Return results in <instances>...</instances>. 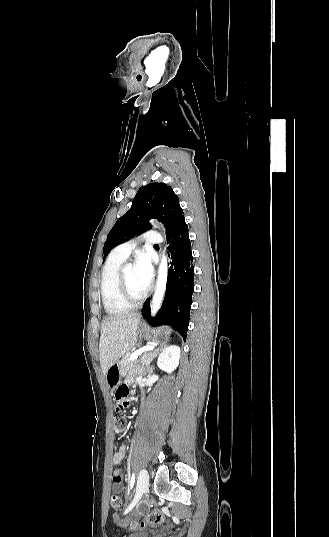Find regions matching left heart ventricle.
<instances>
[{"instance_id":"1","label":"left heart ventricle","mask_w":329,"mask_h":537,"mask_svg":"<svg viewBox=\"0 0 329 537\" xmlns=\"http://www.w3.org/2000/svg\"><path fill=\"white\" fill-rule=\"evenodd\" d=\"M125 276L129 293L136 298L143 295L146 290L140 285L135 274L134 266H127L125 270Z\"/></svg>"}]
</instances>
